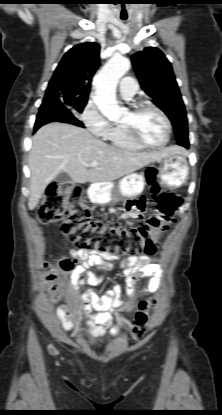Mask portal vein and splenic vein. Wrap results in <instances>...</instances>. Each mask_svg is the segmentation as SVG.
Segmentation results:
<instances>
[{"label":"portal vein and splenic vein","instance_id":"obj_1","mask_svg":"<svg viewBox=\"0 0 222 415\" xmlns=\"http://www.w3.org/2000/svg\"><path fill=\"white\" fill-rule=\"evenodd\" d=\"M99 163L96 161L91 162L88 166L89 167H98Z\"/></svg>","mask_w":222,"mask_h":415}]
</instances>
